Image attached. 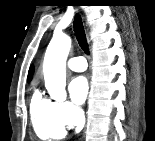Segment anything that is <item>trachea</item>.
Here are the masks:
<instances>
[{"mask_svg":"<svg viewBox=\"0 0 155 141\" xmlns=\"http://www.w3.org/2000/svg\"><path fill=\"white\" fill-rule=\"evenodd\" d=\"M73 27L79 46L86 54H88L89 53L88 43L80 16L78 15L76 16Z\"/></svg>","mask_w":155,"mask_h":141,"instance_id":"3493384b","label":"trachea"}]
</instances>
